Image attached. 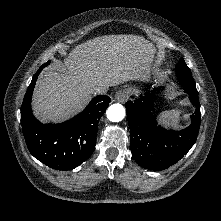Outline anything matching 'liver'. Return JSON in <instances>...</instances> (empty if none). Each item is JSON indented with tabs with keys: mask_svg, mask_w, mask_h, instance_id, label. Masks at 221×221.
Listing matches in <instances>:
<instances>
[{
	"mask_svg": "<svg viewBox=\"0 0 221 221\" xmlns=\"http://www.w3.org/2000/svg\"><path fill=\"white\" fill-rule=\"evenodd\" d=\"M154 46L137 35H105L79 44L58 71L47 70L37 81L32 107L41 120L60 122L82 110L98 88L143 78Z\"/></svg>",
	"mask_w": 221,
	"mask_h": 221,
	"instance_id": "6515ba94",
	"label": "liver"
}]
</instances>
